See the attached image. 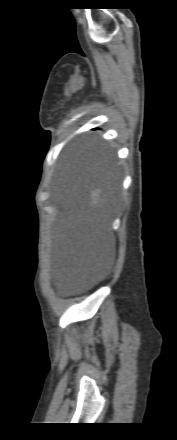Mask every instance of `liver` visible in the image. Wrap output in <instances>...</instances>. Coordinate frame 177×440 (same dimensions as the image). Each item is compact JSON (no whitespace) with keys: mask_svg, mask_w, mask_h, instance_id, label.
I'll return each instance as SVG.
<instances>
[{"mask_svg":"<svg viewBox=\"0 0 177 440\" xmlns=\"http://www.w3.org/2000/svg\"><path fill=\"white\" fill-rule=\"evenodd\" d=\"M100 190H93L90 194L91 205L100 206L99 203H103L104 201L100 199Z\"/></svg>","mask_w":177,"mask_h":440,"instance_id":"1","label":"liver"}]
</instances>
